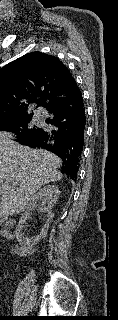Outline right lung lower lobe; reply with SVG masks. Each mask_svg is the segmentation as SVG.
Returning <instances> with one entry per match:
<instances>
[{"label":"right lung lower lobe","mask_w":118,"mask_h":320,"mask_svg":"<svg viewBox=\"0 0 118 320\" xmlns=\"http://www.w3.org/2000/svg\"><path fill=\"white\" fill-rule=\"evenodd\" d=\"M45 122L51 126L40 128L31 136L17 142L29 147H41L59 156L61 173L76 180L80 166L86 126L85 107L81 92L51 107Z\"/></svg>","instance_id":"1"}]
</instances>
